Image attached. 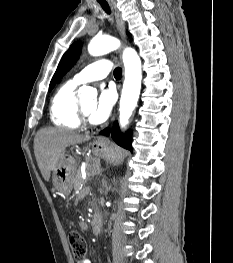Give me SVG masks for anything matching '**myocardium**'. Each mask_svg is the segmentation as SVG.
<instances>
[{"instance_id":"obj_1","label":"myocardium","mask_w":233,"mask_h":263,"mask_svg":"<svg viewBox=\"0 0 233 263\" xmlns=\"http://www.w3.org/2000/svg\"><path fill=\"white\" fill-rule=\"evenodd\" d=\"M79 115H80L81 123H83L84 125L90 124L88 115L85 113L83 107L80 105H79Z\"/></svg>"}]
</instances>
